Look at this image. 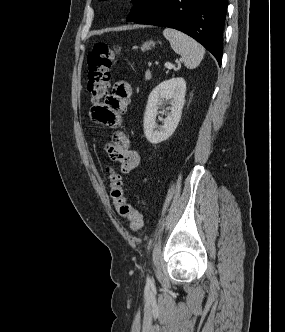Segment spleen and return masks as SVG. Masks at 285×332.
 Returning <instances> with one entry per match:
<instances>
[{"instance_id": "obj_1", "label": "spleen", "mask_w": 285, "mask_h": 332, "mask_svg": "<svg viewBox=\"0 0 285 332\" xmlns=\"http://www.w3.org/2000/svg\"><path fill=\"white\" fill-rule=\"evenodd\" d=\"M163 35L170 42L172 49L181 55L187 68L194 69L200 64L205 49L197 41L172 28L164 29Z\"/></svg>"}]
</instances>
